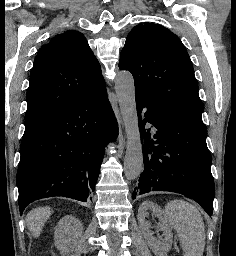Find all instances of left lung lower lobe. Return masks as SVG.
Returning <instances> with one entry per match:
<instances>
[{
	"mask_svg": "<svg viewBox=\"0 0 236 256\" xmlns=\"http://www.w3.org/2000/svg\"><path fill=\"white\" fill-rule=\"evenodd\" d=\"M136 106L145 169L133 199L150 191L176 192L195 200L211 215L215 189L202 120L139 95ZM143 108L147 109L144 114ZM146 122L153 124V131L143 128Z\"/></svg>",
	"mask_w": 236,
	"mask_h": 256,
	"instance_id": "0a47b994",
	"label": "left lung lower lobe"
}]
</instances>
